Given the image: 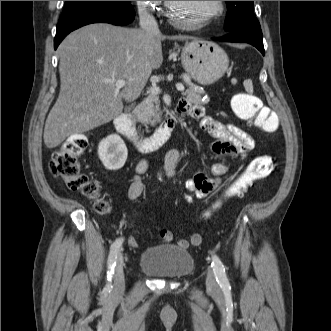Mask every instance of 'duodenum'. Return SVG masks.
Returning a JSON list of instances; mask_svg holds the SVG:
<instances>
[{"label":"duodenum","mask_w":331,"mask_h":331,"mask_svg":"<svg viewBox=\"0 0 331 331\" xmlns=\"http://www.w3.org/2000/svg\"><path fill=\"white\" fill-rule=\"evenodd\" d=\"M181 114V110L177 107L151 136L143 139L139 137L135 124L126 112L115 117L114 125L118 133L127 138L139 152H151L167 142Z\"/></svg>","instance_id":"1"}]
</instances>
